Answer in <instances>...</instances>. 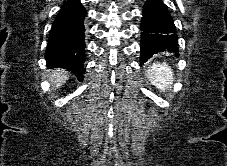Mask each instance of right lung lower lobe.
Returning <instances> with one entry per match:
<instances>
[{
	"label": "right lung lower lobe",
	"mask_w": 227,
	"mask_h": 166,
	"mask_svg": "<svg viewBox=\"0 0 227 166\" xmlns=\"http://www.w3.org/2000/svg\"><path fill=\"white\" fill-rule=\"evenodd\" d=\"M86 14L79 0H67L52 25L45 54L48 68L68 69L80 80L85 72Z\"/></svg>",
	"instance_id": "98d812e1"
}]
</instances>
